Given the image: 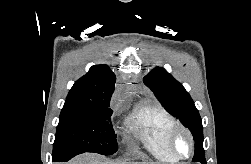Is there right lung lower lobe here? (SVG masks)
<instances>
[{
	"mask_svg": "<svg viewBox=\"0 0 251 164\" xmlns=\"http://www.w3.org/2000/svg\"><path fill=\"white\" fill-rule=\"evenodd\" d=\"M78 155L76 152H64L52 156L53 162H67L74 156Z\"/></svg>",
	"mask_w": 251,
	"mask_h": 164,
	"instance_id": "obj_1",
	"label": "right lung lower lobe"
}]
</instances>
